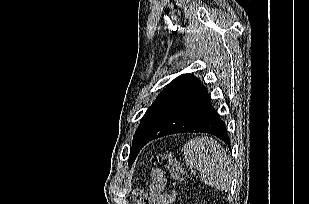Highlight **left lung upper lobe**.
<instances>
[{"instance_id":"5c2ea615","label":"left lung upper lobe","mask_w":309,"mask_h":204,"mask_svg":"<svg viewBox=\"0 0 309 204\" xmlns=\"http://www.w3.org/2000/svg\"><path fill=\"white\" fill-rule=\"evenodd\" d=\"M200 87V80L191 74L180 75L167 85L140 121L134 134L133 146L130 149L129 163L135 160L145 136L157 119L175 102Z\"/></svg>"}]
</instances>
